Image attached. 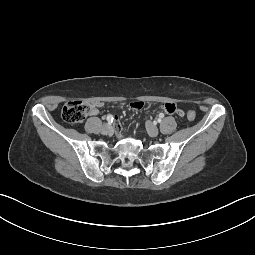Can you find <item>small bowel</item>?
I'll use <instances>...</instances> for the list:
<instances>
[{"mask_svg": "<svg viewBox=\"0 0 255 255\" xmlns=\"http://www.w3.org/2000/svg\"><path fill=\"white\" fill-rule=\"evenodd\" d=\"M144 103L140 101L133 102L131 106L133 108H141L143 107ZM98 106L99 104H92L90 106V114L95 116L98 114ZM158 108L162 109L166 113L174 114V117L177 120H184L187 117L188 108L187 106L183 105L181 102H165L160 103L157 105Z\"/></svg>", "mask_w": 255, "mask_h": 255, "instance_id": "small-bowel-1", "label": "small bowel"}]
</instances>
